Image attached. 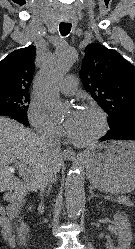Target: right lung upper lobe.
Returning <instances> with one entry per match:
<instances>
[{
    "label": "right lung upper lobe",
    "instance_id": "1",
    "mask_svg": "<svg viewBox=\"0 0 135 249\" xmlns=\"http://www.w3.org/2000/svg\"><path fill=\"white\" fill-rule=\"evenodd\" d=\"M36 48L32 45L13 51L0 61V91L28 92L34 72Z\"/></svg>",
    "mask_w": 135,
    "mask_h": 249
}]
</instances>
